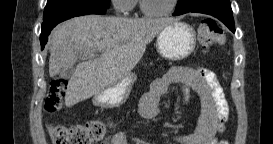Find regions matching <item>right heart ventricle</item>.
<instances>
[{
	"label": "right heart ventricle",
	"instance_id": "1",
	"mask_svg": "<svg viewBox=\"0 0 273 144\" xmlns=\"http://www.w3.org/2000/svg\"><path fill=\"white\" fill-rule=\"evenodd\" d=\"M136 5V1H134V3H133V6H135Z\"/></svg>",
	"mask_w": 273,
	"mask_h": 144
}]
</instances>
